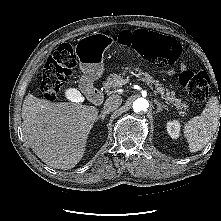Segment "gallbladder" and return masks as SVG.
I'll return each instance as SVG.
<instances>
[{"mask_svg":"<svg viewBox=\"0 0 221 221\" xmlns=\"http://www.w3.org/2000/svg\"><path fill=\"white\" fill-rule=\"evenodd\" d=\"M65 97L68 101L70 102H75L79 99L80 97V92L77 88L75 87H70L66 90L65 92Z\"/></svg>","mask_w":221,"mask_h":221,"instance_id":"obj_1","label":"gallbladder"}]
</instances>
